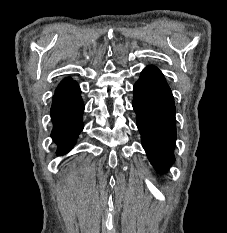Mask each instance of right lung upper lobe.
<instances>
[{"label":"right lung upper lobe","instance_id":"obj_1","mask_svg":"<svg viewBox=\"0 0 227 233\" xmlns=\"http://www.w3.org/2000/svg\"><path fill=\"white\" fill-rule=\"evenodd\" d=\"M72 82H73V80H72L70 77L65 78V79L59 84V86L57 87V90L60 89V88H62V87H64V86H66V85H68V84H70V83H72Z\"/></svg>","mask_w":227,"mask_h":233}]
</instances>
